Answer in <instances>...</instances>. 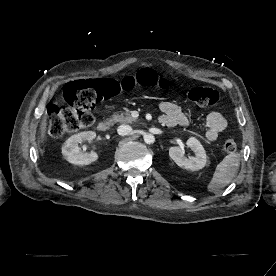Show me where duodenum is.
<instances>
[{"instance_id": "410a0bca", "label": "duodenum", "mask_w": 276, "mask_h": 276, "mask_svg": "<svg viewBox=\"0 0 276 276\" xmlns=\"http://www.w3.org/2000/svg\"><path fill=\"white\" fill-rule=\"evenodd\" d=\"M110 128V125L107 121L103 120V121H100L98 124H97V130L99 132H107Z\"/></svg>"}]
</instances>
